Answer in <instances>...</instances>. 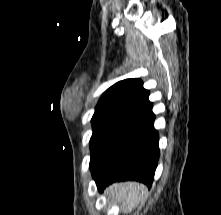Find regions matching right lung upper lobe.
I'll list each match as a JSON object with an SVG mask.
<instances>
[{
    "instance_id": "cb5924a9",
    "label": "right lung upper lobe",
    "mask_w": 221,
    "mask_h": 215,
    "mask_svg": "<svg viewBox=\"0 0 221 215\" xmlns=\"http://www.w3.org/2000/svg\"><path fill=\"white\" fill-rule=\"evenodd\" d=\"M148 96L149 91L143 88V82L140 79H126L107 89L98 104L122 105L138 111L151 105Z\"/></svg>"
}]
</instances>
